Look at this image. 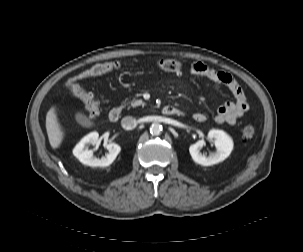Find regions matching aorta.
Segmentation results:
<instances>
[{
	"mask_svg": "<svg viewBox=\"0 0 303 252\" xmlns=\"http://www.w3.org/2000/svg\"><path fill=\"white\" fill-rule=\"evenodd\" d=\"M162 125L159 123H153L150 127V133L152 135H159L162 132Z\"/></svg>",
	"mask_w": 303,
	"mask_h": 252,
	"instance_id": "obj_1",
	"label": "aorta"
}]
</instances>
